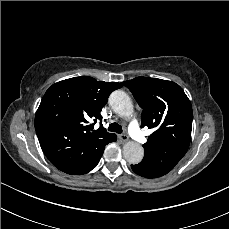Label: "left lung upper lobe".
<instances>
[{"label":"left lung upper lobe","mask_w":229,"mask_h":229,"mask_svg":"<svg viewBox=\"0 0 229 229\" xmlns=\"http://www.w3.org/2000/svg\"><path fill=\"white\" fill-rule=\"evenodd\" d=\"M143 108L141 127L155 131L143 145L141 164L158 176L170 172L186 154L190 140L193 112L183 89L176 83L148 77L122 82Z\"/></svg>","instance_id":"1"}]
</instances>
